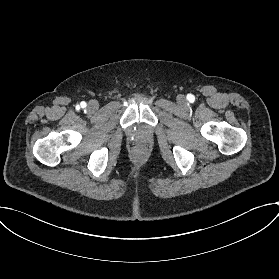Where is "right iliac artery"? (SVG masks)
I'll return each instance as SVG.
<instances>
[{
	"instance_id": "1",
	"label": "right iliac artery",
	"mask_w": 279,
	"mask_h": 279,
	"mask_svg": "<svg viewBox=\"0 0 279 279\" xmlns=\"http://www.w3.org/2000/svg\"><path fill=\"white\" fill-rule=\"evenodd\" d=\"M86 106V103L85 102H82L81 103V107H85Z\"/></svg>"
}]
</instances>
